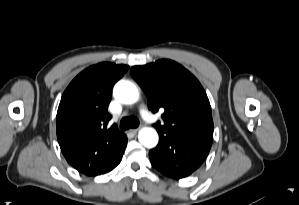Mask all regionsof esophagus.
<instances>
[{
	"label": "esophagus",
	"instance_id": "34e87169",
	"mask_svg": "<svg viewBox=\"0 0 299 205\" xmlns=\"http://www.w3.org/2000/svg\"><path fill=\"white\" fill-rule=\"evenodd\" d=\"M139 130H140V127L139 128H135V129H131L130 131L132 133L136 134Z\"/></svg>",
	"mask_w": 299,
	"mask_h": 205
}]
</instances>
